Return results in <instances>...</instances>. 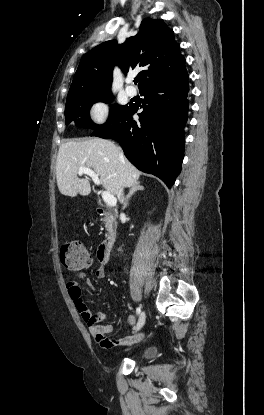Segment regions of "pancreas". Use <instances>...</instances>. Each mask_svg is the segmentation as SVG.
I'll use <instances>...</instances> for the list:
<instances>
[{
  "instance_id": "cf45deb5",
  "label": "pancreas",
  "mask_w": 264,
  "mask_h": 415,
  "mask_svg": "<svg viewBox=\"0 0 264 415\" xmlns=\"http://www.w3.org/2000/svg\"><path fill=\"white\" fill-rule=\"evenodd\" d=\"M104 221H105V223H106V225H105L106 230H107L109 233L113 232L114 226L116 227V222H115V219H114V223H113V221L111 220V218H104Z\"/></svg>"
}]
</instances>
